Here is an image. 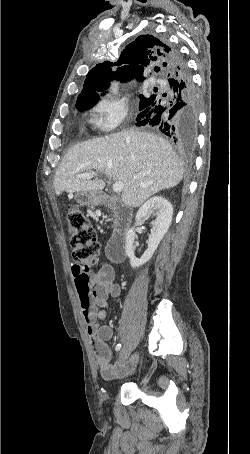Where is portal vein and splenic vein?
<instances>
[{"label": "portal vein and splenic vein", "mask_w": 250, "mask_h": 454, "mask_svg": "<svg viewBox=\"0 0 250 454\" xmlns=\"http://www.w3.org/2000/svg\"><path fill=\"white\" fill-rule=\"evenodd\" d=\"M95 175H97V174H95L94 172H86V173H82V174H77L76 177L83 178V179H91ZM123 188H124V184L122 182H115L112 185L113 192H115V193L122 192Z\"/></svg>", "instance_id": "portal-vein-and-splenic-vein-1"}]
</instances>
